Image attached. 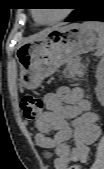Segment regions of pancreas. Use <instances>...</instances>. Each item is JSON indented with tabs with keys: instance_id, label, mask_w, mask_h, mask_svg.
I'll list each match as a JSON object with an SVG mask.
<instances>
[{
	"instance_id": "cf45deb5",
	"label": "pancreas",
	"mask_w": 104,
	"mask_h": 169,
	"mask_svg": "<svg viewBox=\"0 0 104 169\" xmlns=\"http://www.w3.org/2000/svg\"><path fill=\"white\" fill-rule=\"evenodd\" d=\"M82 67V64L78 60H74L69 64L70 70L79 76L83 75Z\"/></svg>"
}]
</instances>
